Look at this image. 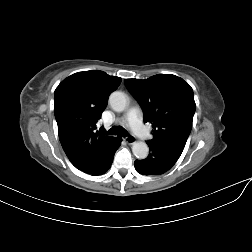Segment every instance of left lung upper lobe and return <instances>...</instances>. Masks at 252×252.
<instances>
[{
	"mask_svg": "<svg viewBox=\"0 0 252 252\" xmlns=\"http://www.w3.org/2000/svg\"><path fill=\"white\" fill-rule=\"evenodd\" d=\"M125 85L139 102L145 122L154 128L153 139L182 152L192 129L196 104L191 86L171 74L145 80L126 79Z\"/></svg>",
	"mask_w": 252,
	"mask_h": 252,
	"instance_id": "left-lung-upper-lobe-1",
	"label": "left lung upper lobe"
}]
</instances>
